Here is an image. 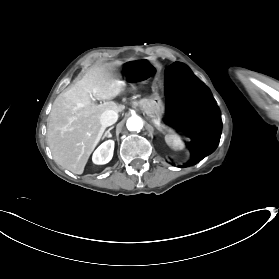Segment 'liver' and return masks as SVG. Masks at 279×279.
<instances>
[{"mask_svg": "<svg viewBox=\"0 0 279 279\" xmlns=\"http://www.w3.org/2000/svg\"><path fill=\"white\" fill-rule=\"evenodd\" d=\"M127 85L111 64L90 70L74 87L57 96L47 119V145L58 165L73 174L84 172L93 150L105 138L100 116L106 110L120 112L113 99ZM94 99L107 101L97 104Z\"/></svg>", "mask_w": 279, "mask_h": 279, "instance_id": "obj_1", "label": "liver"}]
</instances>
